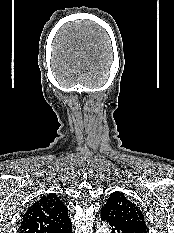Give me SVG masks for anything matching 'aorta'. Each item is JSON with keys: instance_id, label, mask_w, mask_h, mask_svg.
<instances>
[{"instance_id": "aorta-1", "label": "aorta", "mask_w": 174, "mask_h": 233, "mask_svg": "<svg viewBox=\"0 0 174 233\" xmlns=\"http://www.w3.org/2000/svg\"><path fill=\"white\" fill-rule=\"evenodd\" d=\"M96 233H110L109 227L106 223L97 226Z\"/></svg>"}]
</instances>
